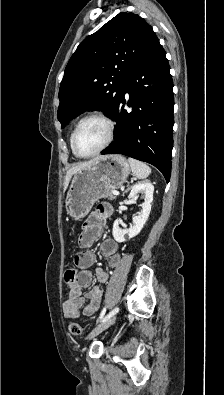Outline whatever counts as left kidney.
<instances>
[{
	"label": "left kidney",
	"instance_id": "1",
	"mask_svg": "<svg viewBox=\"0 0 224 395\" xmlns=\"http://www.w3.org/2000/svg\"><path fill=\"white\" fill-rule=\"evenodd\" d=\"M153 192H154V186L149 181L137 183L132 187L128 199L130 201H133V199L138 193H142L144 196V203L142 205V210L140 214L138 216L133 217V225H131L130 228L128 229L120 228L119 220H115L113 224L112 234L117 242L119 243L124 242L126 241V236H128V238H133L140 233L144 224L148 220L151 211Z\"/></svg>",
	"mask_w": 224,
	"mask_h": 395
}]
</instances>
